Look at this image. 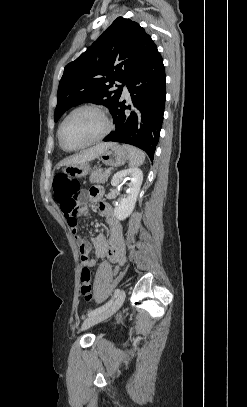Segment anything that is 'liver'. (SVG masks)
I'll return each mask as SVG.
<instances>
[{
    "label": "liver",
    "instance_id": "liver-1",
    "mask_svg": "<svg viewBox=\"0 0 247 407\" xmlns=\"http://www.w3.org/2000/svg\"><path fill=\"white\" fill-rule=\"evenodd\" d=\"M110 143H100L94 147L81 151L60 163L62 166L75 165L80 163L89 162L98 157Z\"/></svg>",
    "mask_w": 247,
    "mask_h": 407
}]
</instances>
